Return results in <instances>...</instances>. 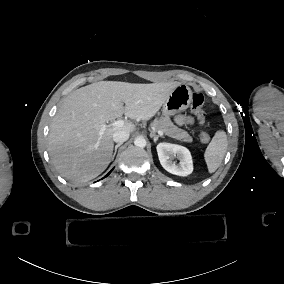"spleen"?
Returning <instances> with one entry per match:
<instances>
[{
  "label": "spleen",
  "instance_id": "1",
  "mask_svg": "<svg viewBox=\"0 0 284 284\" xmlns=\"http://www.w3.org/2000/svg\"><path fill=\"white\" fill-rule=\"evenodd\" d=\"M228 146L227 135L224 131L219 130L215 133L208 147L206 148L204 157L210 173H213L222 163Z\"/></svg>",
  "mask_w": 284,
  "mask_h": 284
}]
</instances>
